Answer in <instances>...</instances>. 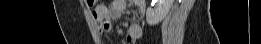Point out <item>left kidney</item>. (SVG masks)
Wrapping results in <instances>:
<instances>
[{
  "label": "left kidney",
  "instance_id": "left-kidney-1",
  "mask_svg": "<svg viewBox=\"0 0 261 44\" xmlns=\"http://www.w3.org/2000/svg\"><path fill=\"white\" fill-rule=\"evenodd\" d=\"M174 0H153L154 8L149 7L146 12V21L149 25H156L168 14ZM152 2V3H153Z\"/></svg>",
  "mask_w": 261,
  "mask_h": 44
}]
</instances>
